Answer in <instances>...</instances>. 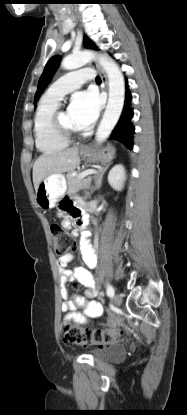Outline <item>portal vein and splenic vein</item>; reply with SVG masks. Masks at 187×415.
<instances>
[{"mask_svg":"<svg viewBox=\"0 0 187 415\" xmlns=\"http://www.w3.org/2000/svg\"><path fill=\"white\" fill-rule=\"evenodd\" d=\"M95 173H97V171L96 170H94V169H88V170H85V171H83L82 173H80L79 174V179H83L84 177H86L87 175H90V174H95Z\"/></svg>","mask_w":187,"mask_h":415,"instance_id":"1","label":"portal vein and splenic vein"}]
</instances>
